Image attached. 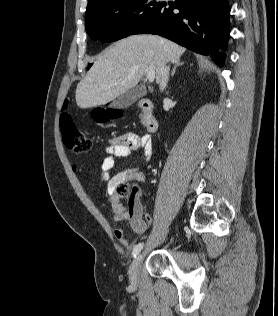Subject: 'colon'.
<instances>
[{"instance_id":"1","label":"colon","mask_w":278,"mask_h":316,"mask_svg":"<svg viewBox=\"0 0 278 316\" xmlns=\"http://www.w3.org/2000/svg\"><path fill=\"white\" fill-rule=\"evenodd\" d=\"M120 117L119 112H95L92 118L97 123H106L110 120ZM61 133L65 146L73 152L84 153L91 149L90 138L83 133L75 121L69 114H62L61 120ZM116 196L119 198H130L132 193L129 191L125 184L119 185L115 190Z\"/></svg>"}]
</instances>
